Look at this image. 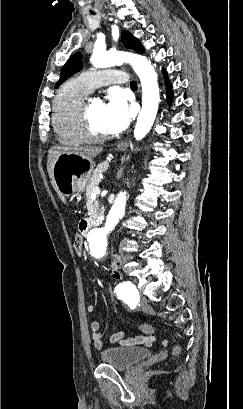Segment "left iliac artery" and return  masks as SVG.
I'll list each match as a JSON object with an SVG mask.
<instances>
[{"label": "left iliac artery", "instance_id": "44dca946", "mask_svg": "<svg viewBox=\"0 0 243 409\" xmlns=\"http://www.w3.org/2000/svg\"><path fill=\"white\" fill-rule=\"evenodd\" d=\"M115 292L119 299H123L129 305L135 306L139 300V296L135 286L130 282H124L115 287Z\"/></svg>", "mask_w": 243, "mask_h": 409}]
</instances>
